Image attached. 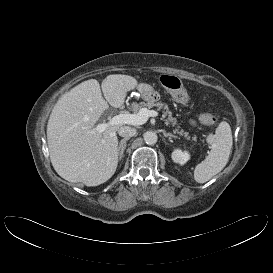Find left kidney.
Listing matches in <instances>:
<instances>
[{"label": "left kidney", "instance_id": "left-kidney-1", "mask_svg": "<svg viewBox=\"0 0 273 273\" xmlns=\"http://www.w3.org/2000/svg\"><path fill=\"white\" fill-rule=\"evenodd\" d=\"M190 158V155L187 151H182L180 149H176L172 152V160L175 163H179L181 165L185 164Z\"/></svg>", "mask_w": 273, "mask_h": 273}]
</instances>
